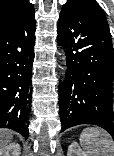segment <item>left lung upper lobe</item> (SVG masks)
Returning a JSON list of instances; mask_svg holds the SVG:
<instances>
[{
  "mask_svg": "<svg viewBox=\"0 0 114 156\" xmlns=\"http://www.w3.org/2000/svg\"><path fill=\"white\" fill-rule=\"evenodd\" d=\"M68 2H75L87 5L89 8H91L93 11H95L98 15L102 16L106 20L102 9L100 8L99 4L94 0H69Z\"/></svg>",
  "mask_w": 114,
  "mask_h": 156,
  "instance_id": "left-lung-upper-lobe-1",
  "label": "left lung upper lobe"
}]
</instances>
